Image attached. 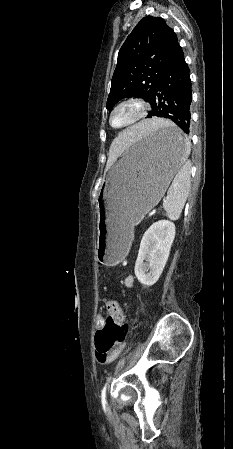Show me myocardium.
<instances>
[{"label":"myocardium","mask_w":233,"mask_h":449,"mask_svg":"<svg viewBox=\"0 0 233 449\" xmlns=\"http://www.w3.org/2000/svg\"><path fill=\"white\" fill-rule=\"evenodd\" d=\"M125 106H135V114L134 116L126 123L116 126L113 124V115L114 113ZM148 111V104L141 98H136V97H130V98H125L119 102H117L111 109L110 113H109V124L112 128L114 129H123V128H127L130 127L136 123H138L142 118L145 117L146 113Z\"/></svg>","instance_id":"myocardium-1"}]
</instances>
